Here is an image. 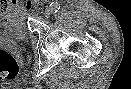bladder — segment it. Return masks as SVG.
<instances>
[{
  "mask_svg": "<svg viewBox=\"0 0 131 89\" xmlns=\"http://www.w3.org/2000/svg\"><path fill=\"white\" fill-rule=\"evenodd\" d=\"M28 35L24 13L18 10L0 12V43L21 42Z\"/></svg>",
  "mask_w": 131,
  "mask_h": 89,
  "instance_id": "1",
  "label": "bladder"
}]
</instances>
